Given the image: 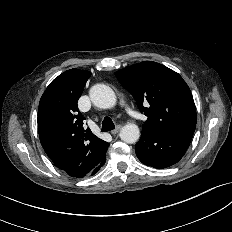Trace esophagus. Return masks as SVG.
I'll list each match as a JSON object with an SVG mask.
<instances>
[{"instance_id":"34e87169","label":"esophagus","mask_w":232,"mask_h":232,"mask_svg":"<svg viewBox=\"0 0 232 232\" xmlns=\"http://www.w3.org/2000/svg\"><path fill=\"white\" fill-rule=\"evenodd\" d=\"M122 126L118 125L115 129L111 131V134L115 135L121 130Z\"/></svg>"}]
</instances>
